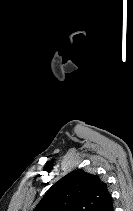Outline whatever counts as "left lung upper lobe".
I'll list each match as a JSON object with an SVG mask.
<instances>
[{"mask_svg": "<svg viewBox=\"0 0 133 211\" xmlns=\"http://www.w3.org/2000/svg\"><path fill=\"white\" fill-rule=\"evenodd\" d=\"M109 196L99 177L78 169L56 182L34 211H94Z\"/></svg>", "mask_w": 133, "mask_h": 211, "instance_id": "obj_1", "label": "left lung upper lobe"}]
</instances>
